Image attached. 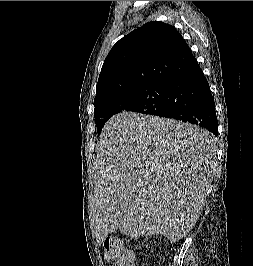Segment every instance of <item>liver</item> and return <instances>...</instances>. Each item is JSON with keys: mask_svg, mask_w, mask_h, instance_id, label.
Instances as JSON below:
<instances>
[{"mask_svg": "<svg viewBox=\"0 0 253 266\" xmlns=\"http://www.w3.org/2000/svg\"><path fill=\"white\" fill-rule=\"evenodd\" d=\"M215 158V138L196 125L132 112L113 116L95 163L97 244L115 230L182 239L202 213Z\"/></svg>", "mask_w": 253, "mask_h": 266, "instance_id": "liver-1", "label": "liver"}]
</instances>
